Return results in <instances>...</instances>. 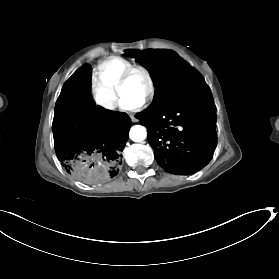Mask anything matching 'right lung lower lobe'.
<instances>
[{
  "label": "right lung lower lobe",
  "mask_w": 279,
  "mask_h": 279,
  "mask_svg": "<svg viewBox=\"0 0 279 279\" xmlns=\"http://www.w3.org/2000/svg\"><path fill=\"white\" fill-rule=\"evenodd\" d=\"M90 69L84 64L64 83L52 128L56 155L63 168L78 180L100 185L120 171L131 120L124 112L95 104L88 92Z\"/></svg>",
  "instance_id": "obj_1"
}]
</instances>
